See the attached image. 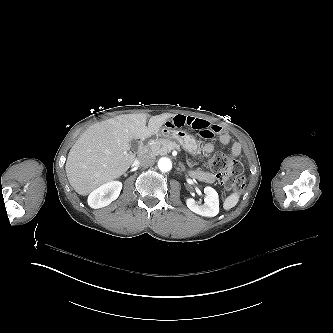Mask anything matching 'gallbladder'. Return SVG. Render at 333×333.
Here are the masks:
<instances>
[{
  "mask_svg": "<svg viewBox=\"0 0 333 333\" xmlns=\"http://www.w3.org/2000/svg\"><path fill=\"white\" fill-rule=\"evenodd\" d=\"M131 147L133 151H137L138 150V142L137 141H132L131 142Z\"/></svg>",
  "mask_w": 333,
  "mask_h": 333,
  "instance_id": "obj_1",
  "label": "gallbladder"
}]
</instances>
